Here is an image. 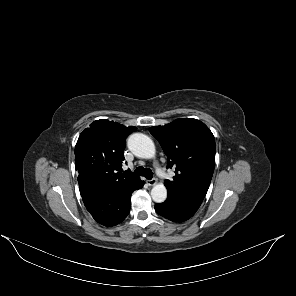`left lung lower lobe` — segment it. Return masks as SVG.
I'll list each match as a JSON object with an SVG mask.
<instances>
[{"label": "left lung lower lobe", "instance_id": "0a47b994", "mask_svg": "<svg viewBox=\"0 0 296 296\" xmlns=\"http://www.w3.org/2000/svg\"><path fill=\"white\" fill-rule=\"evenodd\" d=\"M201 203L202 201L183 200L168 196L164 203L155 205V210L173 222H183L195 214Z\"/></svg>", "mask_w": 296, "mask_h": 296}]
</instances>
